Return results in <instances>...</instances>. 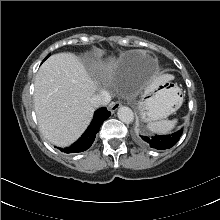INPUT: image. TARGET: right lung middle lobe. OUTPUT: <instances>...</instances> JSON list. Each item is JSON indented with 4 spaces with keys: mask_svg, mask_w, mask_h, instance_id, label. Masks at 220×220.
Returning <instances> with one entry per match:
<instances>
[{
    "mask_svg": "<svg viewBox=\"0 0 220 220\" xmlns=\"http://www.w3.org/2000/svg\"><path fill=\"white\" fill-rule=\"evenodd\" d=\"M49 56H50V54H49L46 58H48ZM46 58H45V59H46Z\"/></svg>",
    "mask_w": 220,
    "mask_h": 220,
    "instance_id": "1",
    "label": "right lung middle lobe"
}]
</instances>
